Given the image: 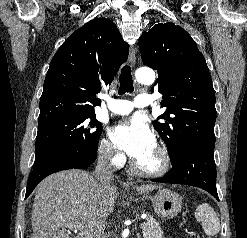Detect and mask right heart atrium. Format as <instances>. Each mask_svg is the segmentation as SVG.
<instances>
[{
  "label": "right heart atrium",
  "mask_w": 247,
  "mask_h": 238,
  "mask_svg": "<svg viewBox=\"0 0 247 238\" xmlns=\"http://www.w3.org/2000/svg\"><path fill=\"white\" fill-rule=\"evenodd\" d=\"M98 157L103 163L115 168L122 167L125 163V156L106 137L99 142Z\"/></svg>",
  "instance_id": "right-heart-atrium-1"
}]
</instances>
